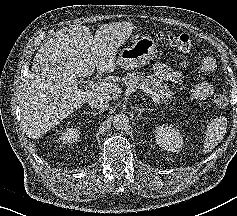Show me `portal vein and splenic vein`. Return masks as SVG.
<instances>
[{
  "label": "portal vein and splenic vein",
  "mask_w": 237,
  "mask_h": 216,
  "mask_svg": "<svg viewBox=\"0 0 237 216\" xmlns=\"http://www.w3.org/2000/svg\"><path fill=\"white\" fill-rule=\"evenodd\" d=\"M89 87L92 89H96V88H102V87H106L108 89V91H114V89L116 88L115 85H110L109 83H103V82H98V83H90Z\"/></svg>",
  "instance_id": "18ae733b"
}]
</instances>
